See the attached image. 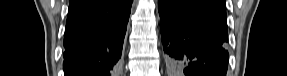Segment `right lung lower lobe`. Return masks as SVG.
<instances>
[{
	"mask_svg": "<svg viewBox=\"0 0 287 76\" xmlns=\"http://www.w3.org/2000/svg\"><path fill=\"white\" fill-rule=\"evenodd\" d=\"M133 0H70L65 76H113Z\"/></svg>",
	"mask_w": 287,
	"mask_h": 76,
	"instance_id": "right-lung-lower-lobe-1",
	"label": "right lung lower lobe"
}]
</instances>
